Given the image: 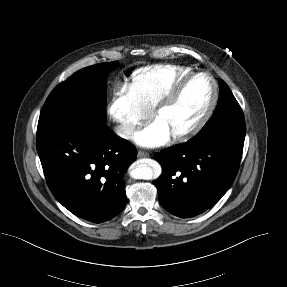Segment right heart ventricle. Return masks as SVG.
Instances as JSON below:
<instances>
[{"label": "right heart ventricle", "instance_id": "1", "mask_svg": "<svg viewBox=\"0 0 287 287\" xmlns=\"http://www.w3.org/2000/svg\"><path fill=\"white\" fill-rule=\"evenodd\" d=\"M192 69L182 65H153L135 70L128 84L141 107L151 110L169 89Z\"/></svg>", "mask_w": 287, "mask_h": 287}]
</instances>
